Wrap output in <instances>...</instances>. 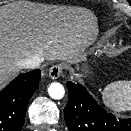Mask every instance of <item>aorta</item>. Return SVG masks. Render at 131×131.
I'll return each instance as SVG.
<instances>
[{"label":"aorta","mask_w":131,"mask_h":131,"mask_svg":"<svg viewBox=\"0 0 131 131\" xmlns=\"http://www.w3.org/2000/svg\"><path fill=\"white\" fill-rule=\"evenodd\" d=\"M48 93L51 98L59 100L62 99L65 94V89L60 83H52L48 88Z\"/></svg>","instance_id":"aorta-1"}]
</instances>
